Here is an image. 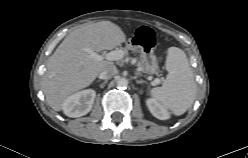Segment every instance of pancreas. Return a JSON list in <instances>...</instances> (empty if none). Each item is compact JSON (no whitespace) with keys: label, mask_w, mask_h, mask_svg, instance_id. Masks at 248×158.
<instances>
[{"label":"pancreas","mask_w":248,"mask_h":158,"mask_svg":"<svg viewBox=\"0 0 248 158\" xmlns=\"http://www.w3.org/2000/svg\"><path fill=\"white\" fill-rule=\"evenodd\" d=\"M138 67L141 69V71H144V68L141 62H138Z\"/></svg>","instance_id":"obj_1"}]
</instances>
